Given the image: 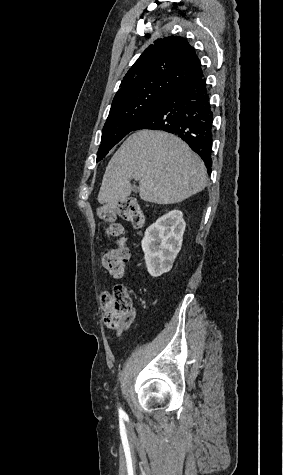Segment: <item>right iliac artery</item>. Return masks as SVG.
Listing matches in <instances>:
<instances>
[{
    "label": "right iliac artery",
    "instance_id": "82829eb1",
    "mask_svg": "<svg viewBox=\"0 0 283 475\" xmlns=\"http://www.w3.org/2000/svg\"><path fill=\"white\" fill-rule=\"evenodd\" d=\"M119 416L123 418L126 416L125 412L121 408L119 409Z\"/></svg>",
    "mask_w": 283,
    "mask_h": 475
}]
</instances>
